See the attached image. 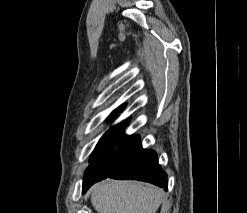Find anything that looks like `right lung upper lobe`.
<instances>
[{"mask_svg": "<svg viewBox=\"0 0 247 213\" xmlns=\"http://www.w3.org/2000/svg\"><path fill=\"white\" fill-rule=\"evenodd\" d=\"M124 107H125V105H122V106H120L118 109H116V111H118V110H123Z\"/></svg>", "mask_w": 247, "mask_h": 213, "instance_id": "1", "label": "right lung upper lobe"}]
</instances>
